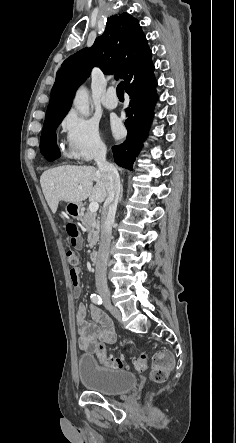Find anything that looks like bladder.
<instances>
[{"instance_id": "31cf9c89", "label": "bladder", "mask_w": 236, "mask_h": 443, "mask_svg": "<svg viewBox=\"0 0 236 443\" xmlns=\"http://www.w3.org/2000/svg\"><path fill=\"white\" fill-rule=\"evenodd\" d=\"M78 376L89 391L115 396L131 390L136 384V376L132 372L108 368L100 365L88 354L77 359Z\"/></svg>"}]
</instances>
